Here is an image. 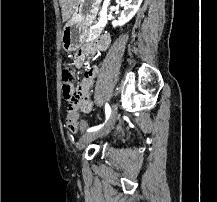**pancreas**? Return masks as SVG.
Wrapping results in <instances>:
<instances>
[{
  "instance_id": "obj_1",
  "label": "pancreas",
  "mask_w": 217,
  "mask_h": 202,
  "mask_svg": "<svg viewBox=\"0 0 217 202\" xmlns=\"http://www.w3.org/2000/svg\"><path fill=\"white\" fill-rule=\"evenodd\" d=\"M88 37L86 38L88 41H93L94 38L97 37V35L100 34V31L99 30H89L88 32Z\"/></svg>"
}]
</instances>
